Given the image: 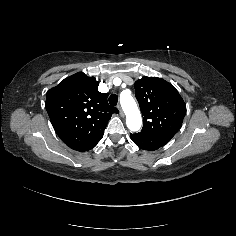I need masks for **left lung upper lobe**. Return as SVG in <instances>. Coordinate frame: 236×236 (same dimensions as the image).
Returning a JSON list of instances; mask_svg holds the SVG:
<instances>
[{
    "instance_id": "obj_1",
    "label": "left lung upper lobe",
    "mask_w": 236,
    "mask_h": 236,
    "mask_svg": "<svg viewBox=\"0 0 236 236\" xmlns=\"http://www.w3.org/2000/svg\"><path fill=\"white\" fill-rule=\"evenodd\" d=\"M134 86L144 121L140 134L171 139L186 114V105L176 88L157 77H143Z\"/></svg>"
}]
</instances>
